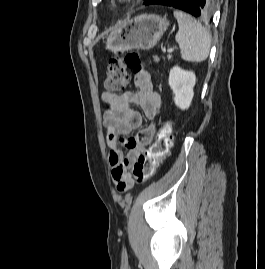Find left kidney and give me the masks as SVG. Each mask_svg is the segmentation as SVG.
I'll use <instances>...</instances> for the list:
<instances>
[{
  "label": "left kidney",
  "mask_w": 265,
  "mask_h": 269,
  "mask_svg": "<svg viewBox=\"0 0 265 269\" xmlns=\"http://www.w3.org/2000/svg\"><path fill=\"white\" fill-rule=\"evenodd\" d=\"M196 76L192 71H185L178 66L173 67L169 73V85L174 93L175 105L188 109L191 105Z\"/></svg>",
  "instance_id": "5707ae66"
}]
</instances>
